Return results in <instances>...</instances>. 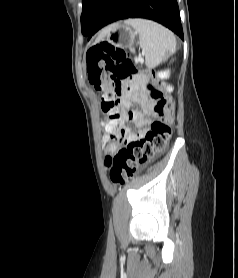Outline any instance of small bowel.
Instances as JSON below:
<instances>
[{"mask_svg":"<svg viewBox=\"0 0 238 278\" xmlns=\"http://www.w3.org/2000/svg\"><path fill=\"white\" fill-rule=\"evenodd\" d=\"M133 103L138 104L141 110H131L130 107ZM120 107L119 126L113 134L107 136V139L110 140L108 150L116 149L117 152L122 149L123 144L143 138L146 132L145 126L148 124L146 116L152 115V102L148 98L142 79L137 77L124 84ZM127 121L141 129L138 135H135L132 129L125 125Z\"/></svg>","mask_w":238,"mask_h":278,"instance_id":"obj_1","label":"small bowel"}]
</instances>
